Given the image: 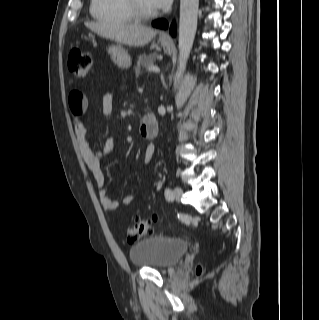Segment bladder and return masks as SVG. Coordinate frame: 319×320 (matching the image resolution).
Listing matches in <instances>:
<instances>
[{"instance_id": "bladder-1", "label": "bladder", "mask_w": 319, "mask_h": 320, "mask_svg": "<svg viewBox=\"0 0 319 320\" xmlns=\"http://www.w3.org/2000/svg\"><path fill=\"white\" fill-rule=\"evenodd\" d=\"M185 241L165 235L144 237L129 249V257L136 267L165 269L176 265L186 254Z\"/></svg>"}]
</instances>
